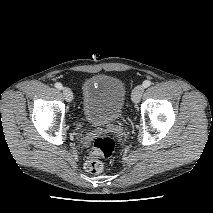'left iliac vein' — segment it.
I'll return each mask as SVG.
<instances>
[{"instance_id": "obj_1", "label": "left iliac vein", "mask_w": 213, "mask_h": 213, "mask_svg": "<svg viewBox=\"0 0 213 213\" xmlns=\"http://www.w3.org/2000/svg\"><path fill=\"white\" fill-rule=\"evenodd\" d=\"M144 87L142 85L136 86L132 91V101L138 103L143 95Z\"/></svg>"}]
</instances>
